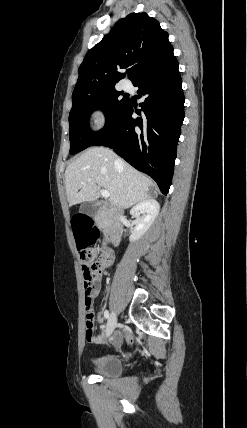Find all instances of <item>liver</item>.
<instances>
[{"label":"liver","mask_w":247,"mask_h":428,"mask_svg":"<svg viewBox=\"0 0 247 428\" xmlns=\"http://www.w3.org/2000/svg\"><path fill=\"white\" fill-rule=\"evenodd\" d=\"M69 206L95 201L100 188L110 193V203L127 209L151 197L155 183L105 147H92L74 160L65 171Z\"/></svg>","instance_id":"liver-1"}]
</instances>
